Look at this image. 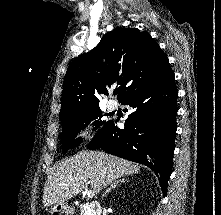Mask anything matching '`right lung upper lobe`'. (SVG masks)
Listing matches in <instances>:
<instances>
[{"instance_id": "right-lung-upper-lobe-1", "label": "right lung upper lobe", "mask_w": 221, "mask_h": 215, "mask_svg": "<svg viewBox=\"0 0 221 215\" xmlns=\"http://www.w3.org/2000/svg\"><path fill=\"white\" fill-rule=\"evenodd\" d=\"M169 69L167 56L149 33L137 28L114 29L69 65L59 119L99 107V98L107 95L112 85L118 86L121 102Z\"/></svg>"}]
</instances>
